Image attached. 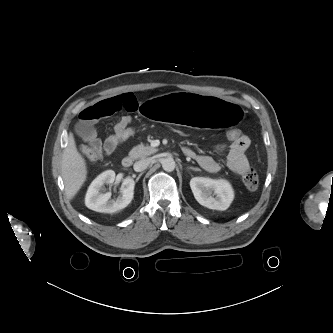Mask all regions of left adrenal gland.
Masks as SVG:
<instances>
[{
	"mask_svg": "<svg viewBox=\"0 0 333 333\" xmlns=\"http://www.w3.org/2000/svg\"><path fill=\"white\" fill-rule=\"evenodd\" d=\"M188 169L198 170V169H196V168H194V167H188Z\"/></svg>",
	"mask_w": 333,
	"mask_h": 333,
	"instance_id": "1",
	"label": "left adrenal gland"
}]
</instances>
